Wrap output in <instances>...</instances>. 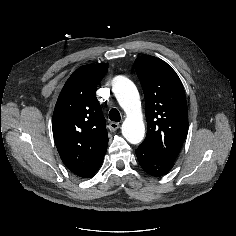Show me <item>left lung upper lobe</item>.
<instances>
[{
  "label": "left lung upper lobe",
  "instance_id": "1",
  "mask_svg": "<svg viewBox=\"0 0 236 236\" xmlns=\"http://www.w3.org/2000/svg\"><path fill=\"white\" fill-rule=\"evenodd\" d=\"M135 69L145 96L147 120V135L139 146L174 163L188 133L182 83L166 62L154 56L138 57Z\"/></svg>",
  "mask_w": 236,
  "mask_h": 236
}]
</instances>
